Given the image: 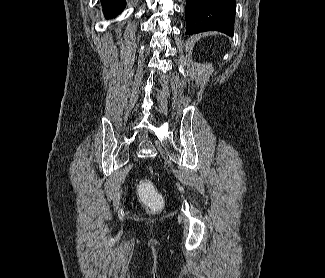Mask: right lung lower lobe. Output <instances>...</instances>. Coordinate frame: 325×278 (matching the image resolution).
<instances>
[{
    "mask_svg": "<svg viewBox=\"0 0 325 278\" xmlns=\"http://www.w3.org/2000/svg\"><path fill=\"white\" fill-rule=\"evenodd\" d=\"M103 11L108 18L114 17L125 7V0H101Z\"/></svg>",
    "mask_w": 325,
    "mask_h": 278,
    "instance_id": "obj_1",
    "label": "right lung lower lobe"
}]
</instances>
